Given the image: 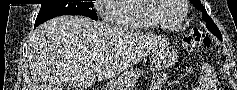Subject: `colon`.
Here are the masks:
<instances>
[{
    "label": "colon",
    "instance_id": "colon-1",
    "mask_svg": "<svg viewBox=\"0 0 237 90\" xmlns=\"http://www.w3.org/2000/svg\"><path fill=\"white\" fill-rule=\"evenodd\" d=\"M211 39L202 31H194L186 36L183 40V45L187 50H193L197 46H209Z\"/></svg>",
    "mask_w": 237,
    "mask_h": 90
}]
</instances>
